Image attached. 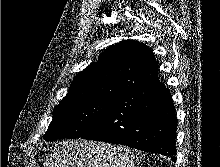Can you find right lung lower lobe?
<instances>
[{"label":"right lung lower lobe","mask_w":220,"mask_h":167,"mask_svg":"<svg viewBox=\"0 0 220 167\" xmlns=\"http://www.w3.org/2000/svg\"><path fill=\"white\" fill-rule=\"evenodd\" d=\"M177 118L159 80L114 98L103 118L81 138L122 144L176 161Z\"/></svg>","instance_id":"1"}]
</instances>
